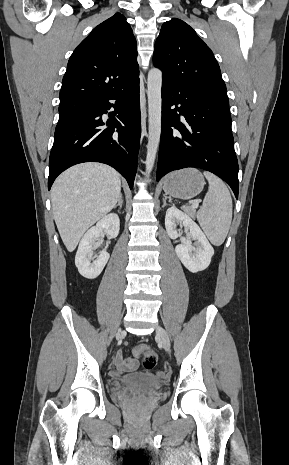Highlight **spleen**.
I'll use <instances>...</instances> for the list:
<instances>
[{"mask_svg": "<svg viewBox=\"0 0 289 465\" xmlns=\"http://www.w3.org/2000/svg\"><path fill=\"white\" fill-rule=\"evenodd\" d=\"M209 182L197 220L210 242L220 246L225 241L232 221V198L224 182L212 173L204 172Z\"/></svg>", "mask_w": 289, "mask_h": 465, "instance_id": "spleen-1", "label": "spleen"}]
</instances>
